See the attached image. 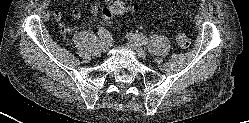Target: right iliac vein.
Returning <instances> with one entry per match:
<instances>
[{"instance_id": "obj_1", "label": "right iliac vein", "mask_w": 249, "mask_h": 123, "mask_svg": "<svg viewBox=\"0 0 249 123\" xmlns=\"http://www.w3.org/2000/svg\"><path fill=\"white\" fill-rule=\"evenodd\" d=\"M108 48H109V45L106 42H102L100 44V51L101 52H106L108 50Z\"/></svg>"}]
</instances>
